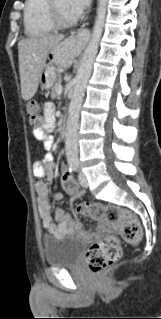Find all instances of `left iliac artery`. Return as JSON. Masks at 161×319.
I'll return each instance as SVG.
<instances>
[{
  "instance_id": "44dca946",
  "label": "left iliac artery",
  "mask_w": 161,
  "mask_h": 319,
  "mask_svg": "<svg viewBox=\"0 0 161 319\" xmlns=\"http://www.w3.org/2000/svg\"><path fill=\"white\" fill-rule=\"evenodd\" d=\"M75 167H76V171L78 170V165L77 164H75Z\"/></svg>"
}]
</instances>
